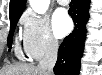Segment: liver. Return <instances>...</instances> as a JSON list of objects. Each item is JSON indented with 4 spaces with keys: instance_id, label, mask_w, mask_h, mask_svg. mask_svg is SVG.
I'll list each match as a JSON object with an SVG mask.
<instances>
[{
    "instance_id": "obj_1",
    "label": "liver",
    "mask_w": 102,
    "mask_h": 75,
    "mask_svg": "<svg viewBox=\"0 0 102 75\" xmlns=\"http://www.w3.org/2000/svg\"><path fill=\"white\" fill-rule=\"evenodd\" d=\"M0 75H47L38 66L29 64L7 65L0 70Z\"/></svg>"
}]
</instances>
